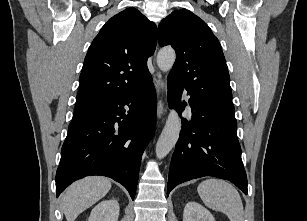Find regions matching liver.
Masks as SVG:
<instances>
[{"label": "liver", "instance_id": "6515ba94", "mask_svg": "<svg viewBox=\"0 0 307 221\" xmlns=\"http://www.w3.org/2000/svg\"><path fill=\"white\" fill-rule=\"evenodd\" d=\"M111 182L101 176H91L74 182L62 196V210L67 221H75L79 214L102 199Z\"/></svg>", "mask_w": 307, "mask_h": 221}]
</instances>
